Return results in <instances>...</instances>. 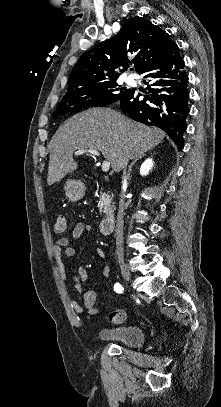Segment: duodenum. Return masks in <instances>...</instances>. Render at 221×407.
Masks as SVG:
<instances>
[{"instance_id":"duodenum-1","label":"duodenum","mask_w":221,"mask_h":407,"mask_svg":"<svg viewBox=\"0 0 221 407\" xmlns=\"http://www.w3.org/2000/svg\"><path fill=\"white\" fill-rule=\"evenodd\" d=\"M115 212L110 211L100 223V232L102 235H108L114 226Z\"/></svg>"}]
</instances>
